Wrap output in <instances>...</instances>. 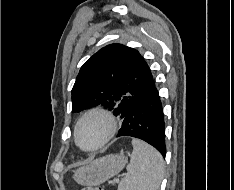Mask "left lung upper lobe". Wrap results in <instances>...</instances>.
Segmentation results:
<instances>
[{
    "label": "left lung upper lobe",
    "instance_id": "5c2ea615",
    "mask_svg": "<svg viewBox=\"0 0 234 190\" xmlns=\"http://www.w3.org/2000/svg\"><path fill=\"white\" fill-rule=\"evenodd\" d=\"M150 79L151 71L137 50L107 45L81 67L72 88V109L79 112L101 104L124 119Z\"/></svg>",
    "mask_w": 234,
    "mask_h": 190
}]
</instances>
